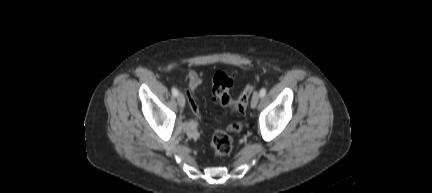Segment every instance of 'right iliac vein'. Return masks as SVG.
Segmentation results:
<instances>
[{
	"label": "right iliac vein",
	"instance_id": "right-iliac-vein-1",
	"mask_svg": "<svg viewBox=\"0 0 432 193\" xmlns=\"http://www.w3.org/2000/svg\"><path fill=\"white\" fill-rule=\"evenodd\" d=\"M177 102L179 104L180 107H184L185 106V97L182 93H179L177 96Z\"/></svg>",
	"mask_w": 432,
	"mask_h": 193
}]
</instances>
